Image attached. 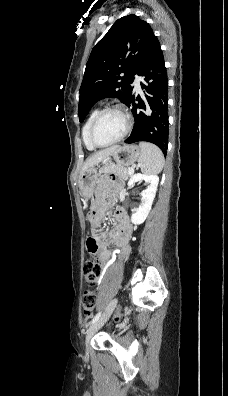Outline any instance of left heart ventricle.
I'll return each mask as SVG.
<instances>
[{"instance_id":"1","label":"left heart ventricle","mask_w":228,"mask_h":396,"mask_svg":"<svg viewBox=\"0 0 228 396\" xmlns=\"http://www.w3.org/2000/svg\"><path fill=\"white\" fill-rule=\"evenodd\" d=\"M125 121L118 112H108L104 114L98 121L94 138L100 144H106L115 140L123 132Z\"/></svg>"}]
</instances>
